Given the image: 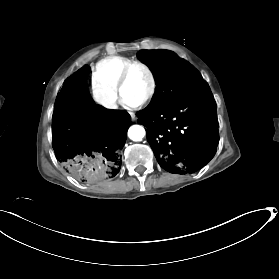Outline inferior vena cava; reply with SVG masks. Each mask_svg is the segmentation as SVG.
<instances>
[{"instance_id": "inferior-vena-cava-1", "label": "inferior vena cava", "mask_w": 279, "mask_h": 279, "mask_svg": "<svg viewBox=\"0 0 279 279\" xmlns=\"http://www.w3.org/2000/svg\"><path fill=\"white\" fill-rule=\"evenodd\" d=\"M106 107L107 108H112V109H116L117 105L115 104V100H108L106 102Z\"/></svg>"}]
</instances>
